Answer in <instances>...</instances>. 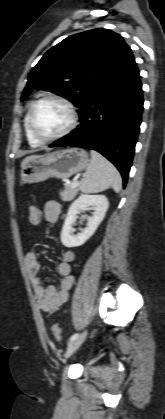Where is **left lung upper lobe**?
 <instances>
[{
  "label": "left lung upper lobe",
  "instance_id": "left-lung-upper-lobe-1",
  "mask_svg": "<svg viewBox=\"0 0 165 419\" xmlns=\"http://www.w3.org/2000/svg\"><path fill=\"white\" fill-rule=\"evenodd\" d=\"M132 58L123 38L108 29L71 35L48 50L32 69L21 100L33 89H43L67 98L80 110Z\"/></svg>",
  "mask_w": 165,
  "mask_h": 419
}]
</instances>
